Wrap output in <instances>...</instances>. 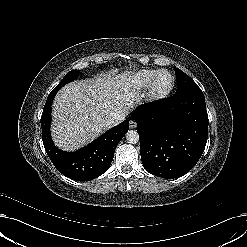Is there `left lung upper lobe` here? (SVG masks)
Returning a JSON list of instances; mask_svg holds the SVG:
<instances>
[{"label": "left lung upper lobe", "instance_id": "5c2ea615", "mask_svg": "<svg viewBox=\"0 0 247 247\" xmlns=\"http://www.w3.org/2000/svg\"><path fill=\"white\" fill-rule=\"evenodd\" d=\"M178 87L174 95H183L193 90H199V86L183 71L176 68Z\"/></svg>", "mask_w": 247, "mask_h": 247}]
</instances>
